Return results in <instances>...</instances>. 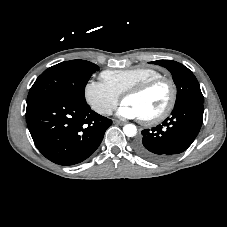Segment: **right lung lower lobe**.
Returning <instances> with one entry per match:
<instances>
[{"mask_svg": "<svg viewBox=\"0 0 227 227\" xmlns=\"http://www.w3.org/2000/svg\"><path fill=\"white\" fill-rule=\"evenodd\" d=\"M26 120L38 150L50 161L64 166L87 159L112 124L85 102L55 96L27 101Z\"/></svg>", "mask_w": 227, "mask_h": 227, "instance_id": "98d812e1", "label": "right lung lower lobe"}]
</instances>
